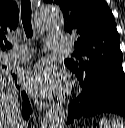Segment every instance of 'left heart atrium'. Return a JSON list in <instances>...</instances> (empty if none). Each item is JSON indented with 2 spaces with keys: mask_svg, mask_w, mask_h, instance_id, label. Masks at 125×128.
I'll return each instance as SVG.
<instances>
[{
  "mask_svg": "<svg viewBox=\"0 0 125 128\" xmlns=\"http://www.w3.org/2000/svg\"><path fill=\"white\" fill-rule=\"evenodd\" d=\"M21 82L29 92L40 97L54 95L65 87V77L62 72L48 62H41L26 70Z\"/></svg>",
  "mask_w": 125,
  "mask_h": 128,
  "instance_id": "obj_1",
  "label": "left heart atrium"
}]
</instances>
